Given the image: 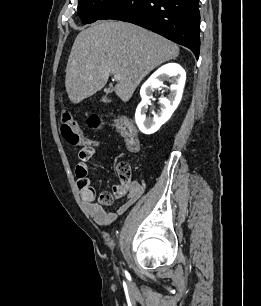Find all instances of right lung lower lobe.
Masks as SVG:
<instances>
[{
  "label": "right lung lower lobe",
  "mask_w": 261,
  "mask_h": 306,
  "mask_svg": "<svg viewBox=\"0 0 261 306\" xmlns=\"http://www.w3.org/2000/svg\"><path fill=\"white\" fill-rule=\"evenodd\" d=\"M115 19L152 30L199 57V0H118L98 20Z\"/></svg>",
  "instance_id": "98d812e1"
}]
</instances>
